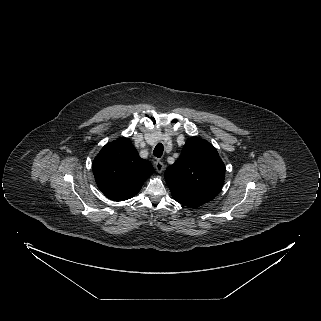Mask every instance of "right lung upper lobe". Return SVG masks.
<instances>
[{
	"mask_svg": "<svg viewBox=\"0 0 321 321\" xmlns=\"http://www.w3.org/2000/svg\"><path fill=\"white\" fill-rule=\"evenodd\" d=\"M98 188L111 200L132 198L153 172L152 164L139 157L128 138L106 144L93 161Z\"/></svg>",
	"mask_w": 321,
	"mask_h": 321,
	"instance_id": "cb5924a9",
	"label": "right lung upper lobe"
}]
</instances>
